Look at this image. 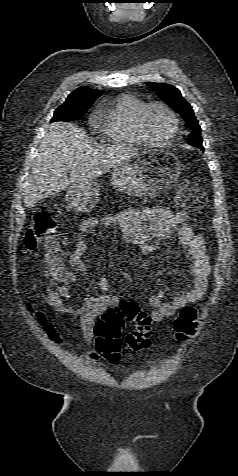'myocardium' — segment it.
<instances>
[{
  "mask_svg": "<svg viewBox=\"0 0 238 476\" xmlns=\"http://www.w3.org/2000/svg\"><path fill=\"white\" fill-rule=\"evenodd\" d=\"M153 107H160L162 108L172 119L173 121V131L170 134L169 137L163 140H157L153 138L147 131L146 125H145V117L147 112L153 108ZM137 128L138 131L140 132L141 136L149 143L156 144V145H166L169 144L170 142L173 141V139L177 136L179 132V119L177 114L172 110L170 106H168L166 103L162 101H151L148 103H145L140 110L138 111L137 114Z\"/></svg>",
  "mask_w": 238,
  "mask_h": 476,
  "instance_id": "1",
  "label": "myocardium"
}]
</instances>
